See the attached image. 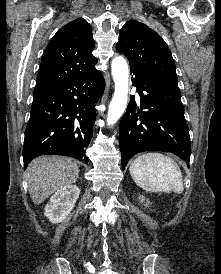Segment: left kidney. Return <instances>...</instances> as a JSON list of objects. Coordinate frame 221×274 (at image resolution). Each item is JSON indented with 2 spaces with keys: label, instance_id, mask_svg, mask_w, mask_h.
<instances>
[{
  "label": "left kidney",
  "instance_id": "5707ae66",
  "mask_svg": "<svg viewBox=\"0 0 221 274\" xmlns=\"http://www.w3.org/2000/svg\"><path fill=\"white\" fill-rule=\"evenodd\" d=\"M139 198L141 199V202H143L145 200L143 196H140ZM148 203L149 202L146 203V206L148 205Z\"/></svg>",
  "mask_w": 221,
  "mask_h": 274
}]
</instances>
